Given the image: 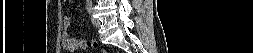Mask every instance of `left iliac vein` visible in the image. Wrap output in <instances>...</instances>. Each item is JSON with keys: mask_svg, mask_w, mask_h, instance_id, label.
<instances>
[{"mask_svg": "<svg viewBox=\"0 0 253 53\" xmlns=\"http://www.w3.org/2000/svg\"><path fill=\"white\" fill-rule=\"evenodd\" d=\"M91 22H92V24L95 26V27H99L100 26V21L97 19V18H95V17H91Z\"/></svg>", "mask_w": 253, "mask_h": 53, "instance_id": "1", "label": "left iliac vein"}]
</instances>
